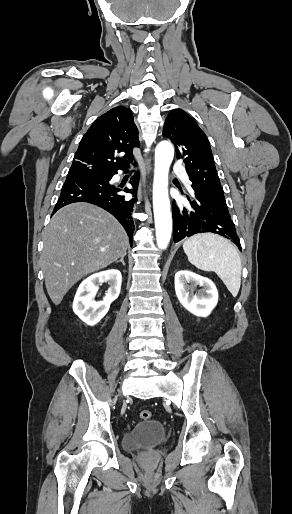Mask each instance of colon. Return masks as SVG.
Returning a JSON list of instances; mask_svg holds the SVG:
<instances>
[{"label": "colon", "instance_id": "obj_1", "mask_svg": "<svg viewBox=\"0 0 292 514\" xmlns=\"http://www.w3.org/2000/svg\"><path fill=\"white\" fill-rule=\"evenodd\" d=\"M139 416L144 421H149L152 418V413L147 409H142L139 412Z\"/></svg>", "mask_w": 292, "mask_h": 514}]
</instances>
